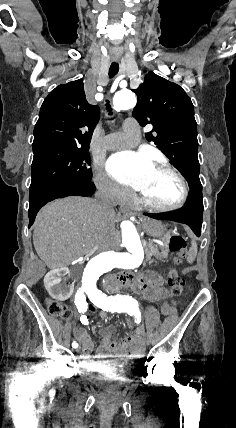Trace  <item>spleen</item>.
<instances>
[{"instance_id": "obj_1", "label": "spleen", "mask_w": 236, "mask_h": 428, "mask_svg": "<svg viewBox=\"0 0 236 428\" xmlns=\"http://www.w3.org/2000/svg\"><path fill=\"white\" fill-rule=\"evenodd\" d=\"M197 252H198L197 244H196V242H194V240H192L191 248L189 250V254H188V258H187V262H189V264H193V262L197 256Z\"/></svg>"}]
</instances>
